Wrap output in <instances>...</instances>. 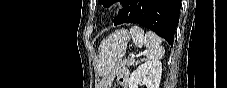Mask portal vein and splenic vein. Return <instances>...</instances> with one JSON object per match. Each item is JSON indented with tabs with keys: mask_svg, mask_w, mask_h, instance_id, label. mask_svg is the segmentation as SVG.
I'll return each mask as SVG.
<instances>
[{
	"mask_svg": "<svg viewBox=\"0 0 227 88\" xmlns=\"http://www.w3.org/2000/svg\"><path fill=\"white\" fill-rule=\"evenodd\" d=\"M136 56H137V55H135V54H132V55H131L132 58H135Z\"/></svg>",
	"mask_w": 227,
	"mask_h": 88,
	"instance_id": "portal-vein-and-splenic-vein-1",
	"label": "portal vein and splenic vein"
}]
</instances>
